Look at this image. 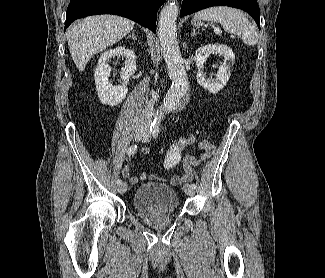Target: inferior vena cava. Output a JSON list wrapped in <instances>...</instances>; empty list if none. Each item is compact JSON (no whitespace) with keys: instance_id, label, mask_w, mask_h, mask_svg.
I'll return each instance as SVG.
<instances>
[{"instance_id":"obj_1","label":"inferior vena cava","mask_w":325,"mask_h":278,"mask_svg":"<svg viewBox=\"0 0 325 278\" xmlns=\"http://www.w3.org/2000/svg\"><path fill=\"white\" fill-rule=\"evenodd\" d=\"M155 98L156 95L154 96V100L152 99L146 105L145 109L142 111V114L139 119L140 124H149L151 122L153 116V107H154Z\"/></svg>"}]
</instances>
